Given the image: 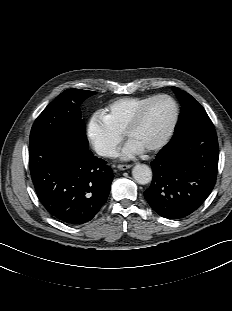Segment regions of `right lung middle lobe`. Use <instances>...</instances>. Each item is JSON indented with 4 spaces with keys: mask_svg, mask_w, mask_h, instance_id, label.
<instances>
[{
    "mask_svg": "<svg viewBox=\"0 0 232 311\" xmlns=\"http://www.w3.org/2000/svg\"><path fill=\"white\" fill-rule=\"evenodd\" d=\"M95 94L94 91L67 89L52 101L37 117L30 133V140L52 133L69 134L88 146L85 123L79 105Z\"/></svg>",
    "mask_w": 232,
    "mask_h": 311,
    "instance_id": "obj_1",
    "label": "right lung middle lobe"
}]
</instances>
